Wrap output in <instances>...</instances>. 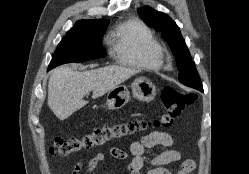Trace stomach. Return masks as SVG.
Masks as SVG:
<instances>
[{
	"mask_svg": "<svg viewBox=\"0 0 249 174\" xmlns=\"http://www.w3.org/2000/svg\"><path fill=\"white\" fill-rule=\"evenodd\" d=\"M132 94L140 101L149 102L156 96V88L153 83L145 78L139 77L131 85ZM130 98V92L124 85H118L107 94L106 105L109 109L123 107Z\"/></svg>",
	"mask_w": 249,
	"mask_h": 174,
	"instance_id": "stomach-1",
	"label": "stomach"
}]
</instances>
